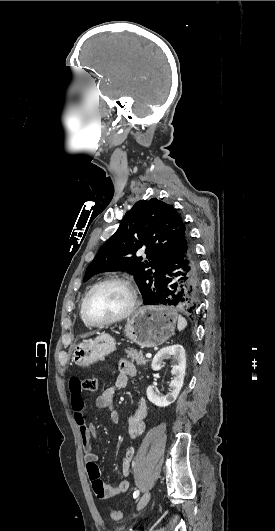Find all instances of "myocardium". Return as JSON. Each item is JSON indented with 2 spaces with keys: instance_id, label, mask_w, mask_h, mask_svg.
<instances>
[{
  "instance_id": "myocardium-1",
  "label": "myocardium",
  "mask_w": 275,
  "mask_h": 531,
  "mask_svg": "<svg viewBox=\"0 0 275 531\" xmlns=\"http://www.w3.org/2000/svg\"><path fill=\"white\" fill-rule=\"evenodd\" d=\"M111 283L120 284V285L124 286L128 290V292L130 294L129 307L127 308V310L124 313H122V314H120V315H118L116 317H113L111 319H108V320L98 321V322L89 320L86 317V315H85V303H86L87 299L89 298V296L95 290H97L101 286H104L106 284H111ZM137 304H138V291H137L136 287L133 285V283L127 277H124V276H110V277H107V278L97 282L84 295V297H83V299L81 301V304H80V315H81V318H82V320L84 321L85 324H87V325H89L91 327H103V326H108V325H112L114 323L123 321V320L127 319L128 317H130L133 314V312L135 311V309L137 307Z\"/></svg>"
}]
</instances>
